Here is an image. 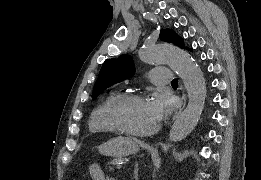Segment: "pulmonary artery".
<instances>
[{
	"instance_id": "1",
	"label": "pulmonary artery",
	"mask_w": 261,
	"mask_h": 180,
	"mask_svg": "<svg viewBox=\"0 0 261 180\" xmlns=\"http://www.w3.org/2000/svg\"><path fill=\"white\" fill-rule=\"evenodd\" d=\"M146 62V61H145ZM153 83H173L171 67H156V69H151Z\"/></svg>"
}]
</instances>
